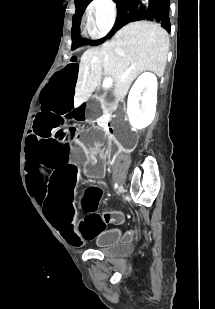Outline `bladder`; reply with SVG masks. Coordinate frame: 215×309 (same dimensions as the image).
Here are the masks:
<instances>
[{"label":"bladder","instance_id":"1","mask_svg":"<svg viewBox=\"0 0 215 309\" xmlns=\"http://www.w3.org/2000/svg\"><path fill=\"white\" fill-rule=\"evenodd\" d=\"M134 251V246L130 243L121 244L118 248L111 252V255L119 258L130 256Z\"/></svg>","mask_w":215,"mask_h":309}]
</instances>
